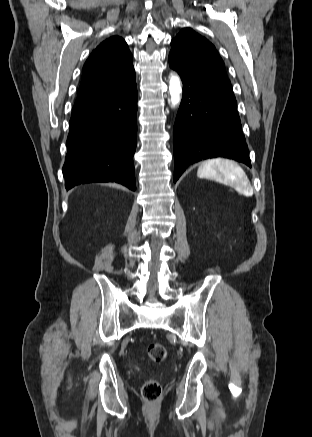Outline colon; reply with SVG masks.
<instances>
[{
	"mask_svg": "<svg viewBox=\"0 0 312 437\" xmlns=\"http://www.w3.org/2000/svg\"><path fill=\"white\" fill-rule=\"evenodd\" d=\"M149 360L161 362L166 357V349L163 344L158 342L149 343L146 347ZM142 396L146 401H156L161 396V386L156 380H148L142 388Z\"/></svg>",
	"mask_w": 312,
	"mask_h": 437,
	"instance_id": "colon-1",
	"label": "colon"
}]
</instances>
